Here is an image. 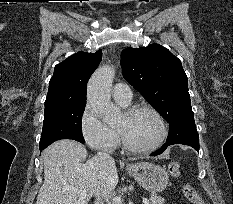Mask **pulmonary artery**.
I'll return each mask as SVG.
<instances>
[{
    "instance_id": "pulmonary-artery-1",
    "label": "pulmonary artery",
    "mask_w": 233,
    "mask_h": 204,
    "mask_svg": "<svg viewBox=\"0 0 233 204\" xmlns=\"http://www.w3.org/2000/svg\"><path fill=\"white\" fill-rule=\"evenodd\" d=\"M113 98L119 104H130L132 91L127 84L117 83L113 87Z\"/></svg>"
}]
</instances>
